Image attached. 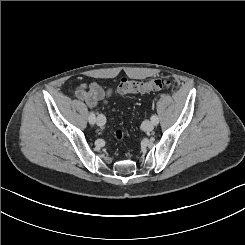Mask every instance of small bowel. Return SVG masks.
Returning <instances> with one entry per match:
<instances>
[{"instance_id":"obj_1","label":"small bowel","mask_w":245,"mask_h":245,"mask_svg":"<svg viewBox=\"0 0 245 245\" xmlns=\"http://www.w3.org/2000/svg\"><path fill=\"white\" fill-rule=\"evenodd\" d=\"M74 94L90 107L97 108L100 102H105L112 95V89H104L96 82L80 83L75 87Z\"/></svg>"}]
</instances>
